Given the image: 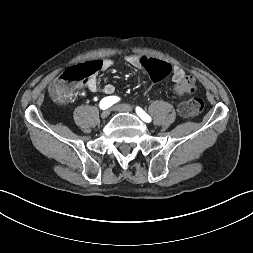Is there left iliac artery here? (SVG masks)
<instances>
[{
    "mask_svg": "<svg viewBox=\"0 0 253 253\" xmlns=\"http://www.w3.org/2000/svg\"><path fill=\"white\" fill-rule=\"evenodd\" d=\"M136 112L143 121L151 122V117L140 107H136Z\"/></svg>",
    "mask_w": 253,
    "mask_h": 253,
    "instance_id": "44dca946",
    "label": "left iliac artery"
}]
</instances>
